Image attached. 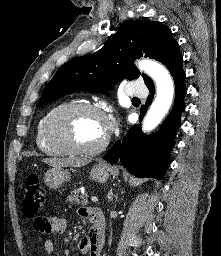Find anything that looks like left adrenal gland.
I'll return each instance as SVG.
<instances>
[{"instance_id":"1","label":"left adrenal gland","mask_w":221,"mask_h":256,"mask_svg":"<svg viewBox=\"0 0 221 256\" xmlns=\"http://www.w3.org/2000/svg\"><path fill=\"white\" fill-rule=\"evenodd\" d=\"M112 199H113V194H112V192H110L109 193V200L112 201Z\"/></svg>"}]
</instances>
